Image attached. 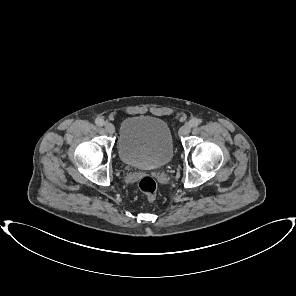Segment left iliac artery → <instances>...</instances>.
Listing matches in <instances>:
<instances>
[{
  "mask_svg": "<svg viewBox=\"0 0 296 296\" xmlns=\"http://www.w3.org/2000/svg\"><path fill=\"white\" fill-rule=\"evenodd\" d=\"M201 123L200 119L194 118L189 121L191 127H197Z\"/></svg>",
  "mask_w": 296,
  "mask_h": 296,
  "instance_id": "1",
  "label": "left iliac artery"
}]
</instances>
